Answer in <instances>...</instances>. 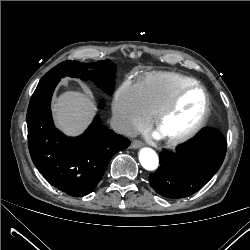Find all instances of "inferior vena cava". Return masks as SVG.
I'll return each mask as SVG.
<instances>
[{"instance_id": "obj_1", "label": "inferior vena cava", "mask_w": 250, "mask_h": 250, "mask_svg": "<svg viewBox=\"0 0 250 250\" xmlns=\"http://www.w3.org/2000/svg\"><path fill=\"white\" fill-rule=\"evenodd\" d=\"M111 128L122 135L134 137L135 132L132 129L131 125L124 119L113 116L110 121Z\"/></svg>"}]
</instances>
